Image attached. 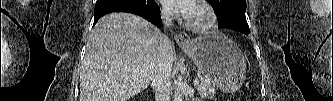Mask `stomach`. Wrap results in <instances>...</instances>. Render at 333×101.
I'll use <instances>...</instances> for the list:
<instances>
[{
	"mask_svg": "<svg viewBox=\"0 0 333 101\" xmlns=\"http://www.w3.org/2000/svg\"><path fill=\"white\" fill-rule=\"evenodd\" d=\"M201 72L222 91H237L246 78V62L237 45L224 34L211 31L182 47Z\"/></svg>",
	"mask_w": 333,
	"mask_h": 101,
	"instance_id": "1",
	"label": "stomach"
}]
</instances>
